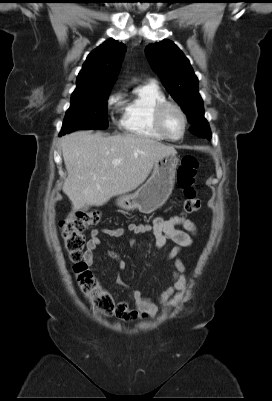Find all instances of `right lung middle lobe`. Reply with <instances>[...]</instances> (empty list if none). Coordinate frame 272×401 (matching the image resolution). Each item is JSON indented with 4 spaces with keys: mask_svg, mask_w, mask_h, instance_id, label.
<instances>
[{
    "mask_svg": "<svg viewBox=\"0 0 272 401\" xmlns=\"http://www.w3.org/2000/svg\"><path fill=\"white\" fill-rule=\"evenodd\" d=\"M111 89L98 90L71 97L60 136L76 129H105L107 121V100Z\"/></svg>",
    "mask_w": 272,
    "mask_h": 401,
    "instance_id": "dd1d6c3e",
    "label": "right lung middle lobe"
}]
</instances>
